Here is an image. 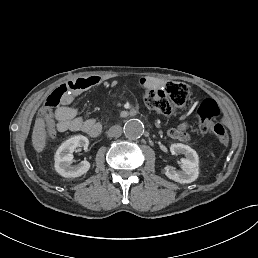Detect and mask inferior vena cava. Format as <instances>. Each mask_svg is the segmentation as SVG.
Masks as SVG:
<instances>
[{"mask_svg": "<svg viewBox=\"0 0 258 258\" xmlns=\"http://www.w3.org/2000/svg\"><path fill=\"white\" fill-rule=\"evenodd\" d=\"M121 133H122V127L120 125L112 126L107 132L109 137H119Z\"/></svg>", "mask_w": 258, "mask_h": 258, "instance_id": "1", "label": "inferior vena cava"}]
</instances>
